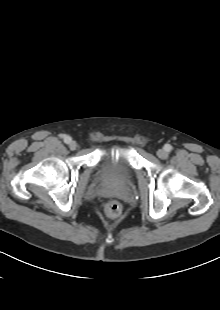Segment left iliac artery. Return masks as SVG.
<instances>
[{"instance_id":"44dca946","label":"left iliac artery","mask_w":220,"mask_h":310,"mask_svg":"<svg viewBox=\"0 0 220 310\" xmlns=\"http://www.w3.org/2000/svg\"><path fill=\"white\" fill-rule=\"evenodd\" d=\"M164 149L167 151V152H170L172 150V146L170 144H166L164 146Z\"/></svg>"}]
</instances>
